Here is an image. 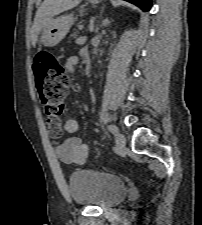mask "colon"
Here are the masks:
<instances>
[{
	"mask_svg": "<svg viewBox=\"0 0 202 225\" xmlns=\"http://www.w3.org/2000/svg\"><path fill=\"white\" fill-rule=\"evenodd\" d=\"M33 69L46 125L50 135L58 139L63 134L60 120L63 113L62 102L70 87L69 78L61 61L46 51L35 58Z\"/></svg>",
	"mask_w": 202,
	"mask_h": 225,
	"instance_id": "5ec220e1",
	"label": "colon"
}]
</instances>
